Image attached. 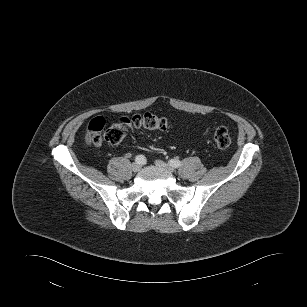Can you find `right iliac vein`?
<instances>
[{"label":"right iliac vein","mask_w":307,"mask_h":307,"mask_svg":"<svg viewBox=\"0 0 307 307\" xmlns=\"http://www.w3.org/2000/svg\"><path fill=\"white\" fill-rule=\"evenodd\" d=\"M141 164L140 163H137V162H134L133 164H132V170L134 171V172H139L140 170H141Z\"/></svg>","instance_id":"right-iliac-vein-1"}]
</instances>
